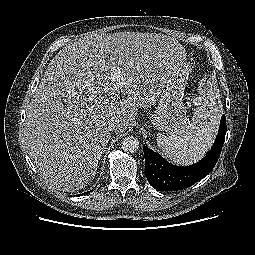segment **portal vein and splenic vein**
I'll return each instance as SVG.
<instances>
[{
	"label": "portal vein and splenic vein",
	"instance_id": "obj_1",
	"mask_svg": "<svg viewBox=\"0 0 255 255\" xmlns=\"http://www.w3.org/2000/svg\"><path fill=\"white\" fill-rule=\"evenodd\" d=\"M111 76H112V79L117 82V84L123 85V78H122V75H121V68L120 67L112 68Z\"/></svg>",
	"mask_w": 255,
	"mask_h": 255
}]
</instances>
